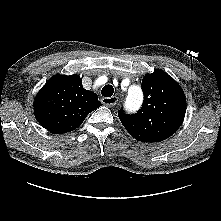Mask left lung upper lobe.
<instances>
[{
	"label": "left lung upper lobe",
	"instance_id": "left-lung-upper-lobe-1",
	"mask_svg": "<svg viewBox=\"0 0 221 221\" xmlns=\"http://www.w3.org/2000/svg\"><path fill=\"white\" fill-rule=\"evenodd\" d=\"M144 101L133 115L118 111L126 130L143 142L162 141L174 134L186 112V98L181 86L167 73L157 70L142 80Z\"/></svg>",
	"mask_w": 221,
	"mask_h": 221
}]
</instances>
